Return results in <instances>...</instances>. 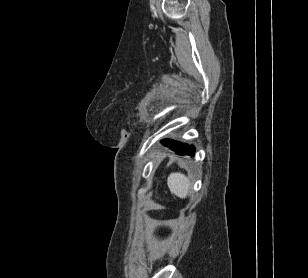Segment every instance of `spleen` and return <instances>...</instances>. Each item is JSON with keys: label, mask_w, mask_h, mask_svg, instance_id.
<instances>
[{"label": "spleen", "mask_w": 308, "mask_h": 278, "mask_svg": "<svg viewBox=\"0 0 308 278\" xmlns=\"http://www.w3.org/2000/svg\"><path fill=\"white\" fill-rule=\"evenodd\" d=\"M167 184L171 193L180 198H186L191 188L189 178L180 172L171 173L167 178Z\"/></svg>", "instance_id": "3e777b00"}]
</instances>
